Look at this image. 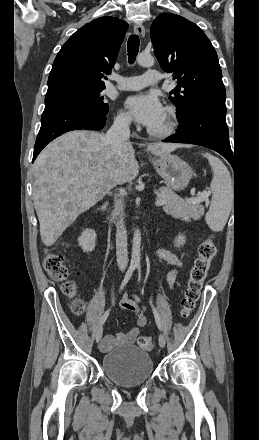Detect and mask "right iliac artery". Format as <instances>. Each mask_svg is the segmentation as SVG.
Wrapping results in <instances>:
<instances>
[{
  "label": "right iliac artery",
  "instance_id": "1",
  "mask_svg": "<svg viewBox=\"0 0 259 440\" xmlns=\"http://www.w3.org/2000/svg\"><path fill=\"white\" fill-rule=\"evenodd\" d=\"M135 267H136V266H135L134 264H131V265L129 266V268H128L126 274H125V277H124V279H123V281H122V283H121V285H120L119 291H121V290L125 287V285H126L127 282L129 281V279L131 278V276H132V274H133V272H134V270H135ZM109 311H110V309H108V310L103 314V316H102V318H101V321H100V324H101V325H103V324L105 323V321H106V319H107V317H108V315H109Z\"/></svg>",
  "mask_w": 259,
  "mask_h": 440
}]
</instances>
